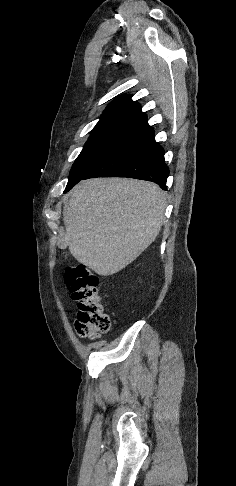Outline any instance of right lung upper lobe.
Here are the masks:
<instances>
[{
    "label": "right lung upper lobe",
    "instance_id": "cb5924a9",
    "mask_svg": "<svg viewBox=\"0 0 236 486\" xmlns=\"http://www.w3.org/2000/svg\"><path fill=\"white\" fill-rule=\"evenodd\" d=\"M146 120L147 116L141 111L140 105L132 101L130 95H122L106 107L95 129L122 125L141 126Z\"/></svg>",
    "mask_w": 236,
    "mask_h": 486
}]
</instances>
